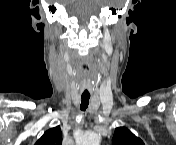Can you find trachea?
I'll list each match as a JSON object with an SVG mask.
<instances>
[{"label":"trachea","mask_w":176,"mask_h":145,"mask_svg":"<svg viewBox=\"0 0 176 145\" xmlns=\"http://www.w3.org/2000/svg\"><path fill=\"white\" fill-rule=\"evenodd\" d=\"M81 105H80V109L82 111H85L89 105V99H90V95H82L81 96Z\"/></svg>","instance_id":"trachea-1"}]
</instances>
